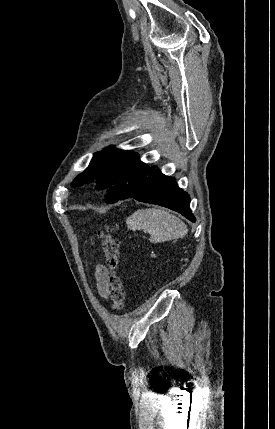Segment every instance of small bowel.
Wrapping results in <instances>:
<instances>
[{
  "label": "small bowel",
  "instance_id": "small-bowel-1",
  "mask_svg": "<svg viewBox=\"0 0 275 429\" xmlns=\"http://www.w3.org/2000/svg\"><path fill=\"white\" fill-rule=\"evenodd\" d=\"M108 278H109L108 269L103 265H98L95 269V279H96L98 293L103 298H108L110 294Z\"/></svg>",
  "mask_w": 275,
  "mask_h": 429
}]
</instances>
